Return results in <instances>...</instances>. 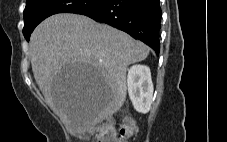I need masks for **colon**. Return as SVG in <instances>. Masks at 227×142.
Returning <instances> with one entry per match:
<instances>
[{
	"label": "colon",
	"instance_id": "colon-1",
	"mask_svg": "<svg viewBox=\"0 0 227 142\" xmlns=\"http://www.w3.org/2000/svg\"><path fill=\"white\" fill-rule=\"evenodd\" d=\"M136 132V124L132 118H125L121 121L118 128H105L97 142H125Z\"/></svg>",
	"mask_w": 227,
	"mask_h": 142
}]
</instances>
